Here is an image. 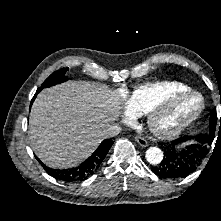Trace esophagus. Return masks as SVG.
I'll use <instances>...</instances> for the list:
<instances>
[{
    "mask_svg": "<svg viewBox=\"0 0 221 221\" xmlns=\"http://www.w3.org/2000/svg\"><path fill=\"white\" fill-rule=\"evenodd\" d=\"M135 140H136V142H137L140 146H142V147H146V146L148 145V142L146 141V139H144V138L141 137V136H136V137H135Z\"/></svg>",
    "mask_w": 221,
    "mask_h": 221,
    "instance_id": "esophagus-1",
    "label": "esophagus"
}]
</instances>
